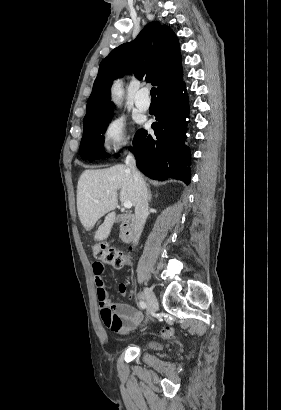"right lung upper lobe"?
Wrapping results in <instances>:
<instances>
[{
    "mask_svg": "<svg viewBox=\"0 0 281 410\" xmlns=\"http://www.w3.org/2000/svg\"><path fill=\"white\" fill-rule=\"evenodd\" d=\"M132 68L138 79L157 86V95L182 82L179 42L174 32L154 21L136 39L111 51L101 62L92 93L87 101L83 123L112 112V81Z\"/></svg>",
    "mask_w": 281,
    "mask_h": 410,
    "instance_id": "right-lung-upper-lobe-1",
    "label": "right lung upper lobe"
}]
</instances>
